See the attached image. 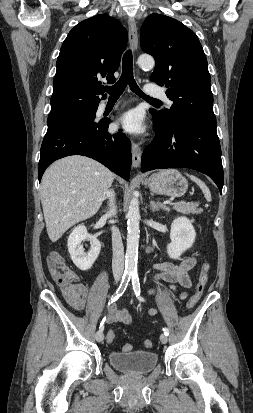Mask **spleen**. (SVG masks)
<instances>
[{
	"label": "spleen",
	"instance_id": "spleen-1",
	"mask_svg": "<svg viewBox=\"0 0 253 413\" xmlns=\"http://www.w3.org/2000/svg\"><path fill=\"white\" fill-rule=\"evenodd\" d=\"M186 175L200 187V189L202 190L204 194L205 199L208 202H210L212 200L211 193H210L209 188L206 186V184L194 175H189V174H186Z\"/></svg>",
	"mask_w": 253,
	"mask_h": 413
}]
</instances>
